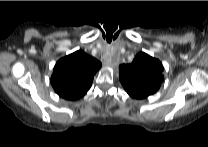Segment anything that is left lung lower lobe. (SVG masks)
Segmentation results:
<instances>
[{
  "label": "left lung lower lobe",
  "instance_id": "0a47b994",
  "mask_svg": "<svg viewBox=\"0 0 208 147\" xmlns=\"http://www.w3.org/2000/svg\"><path fill=\"white\" fill-rule=\"evenodd\" d=\"M131 97H133V98H144V96L140 95V94H132Z\"/></svg>",
  "mask_w": 208,
  "mask_h": 147
}]
</instances>
